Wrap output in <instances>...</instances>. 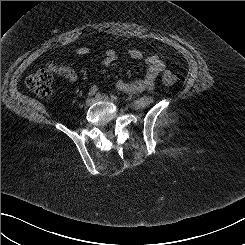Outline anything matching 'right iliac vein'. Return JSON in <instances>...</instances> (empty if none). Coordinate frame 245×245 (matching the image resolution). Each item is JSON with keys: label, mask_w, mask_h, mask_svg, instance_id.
<instances>
[{"label": "right iliac vein", "mask_w": 245, "mask_h": 245, "mask_svg": "<svg viewBox=\"0 0 245 245\" xmlns=\"http://www.w3.org/2000/svg\"><path fill=\"white\" fill-rule=\"evenodd\" d=\"M93 103H94V99H93V98H88V99L85 101V106H86V107H89V106H91Z\"/></svg>", "instance_id": "right-iliac-vein-1"}]
</instances>
